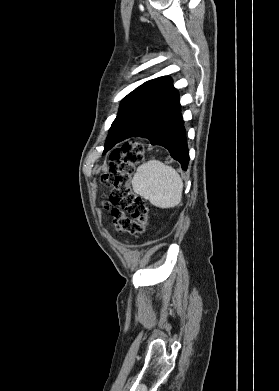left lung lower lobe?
<instances>
[{
  "instance_id": "0a47b994",
  "label": "left lung lower lobe",
  "mask_w": 279,
  "mask_h": 391,
  "mask_svg": "<svg viewBox=\"0 0 279 391\" xmlns=\"http://www.w3.org/2000/svg\"><path fill=\"white\" fill-rule=\"evenodd\" d=\"M134 136L147 138L152 145L165 147L171 156L180 162L182 169L187 170L189 151L179 101L156 121Z\"/></svg>"
}]
</instances>
